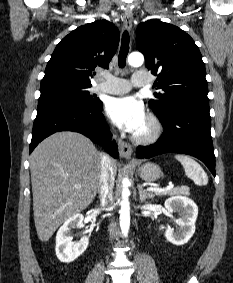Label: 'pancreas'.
<instances>
[{
  "label": "pancreas",
  "instance_id": "pancreas-1",
  "mask_svg": "<svg viewBox=\"0 0 233 283\" xmlns=\"http://www.w3.org/2000/svg\"><path fill=\"white\" fill-rule=\"evenodd\" d=\"M152 197L154 195L157 196H165V195H169V196H175V195H190L189 193V188L188 187H179V188H175V189H171L169 191L166 192H157V193H151Z\"/></svg>",
  "mask_w": 233,
  "mask_h": 283
}]
</instances>
